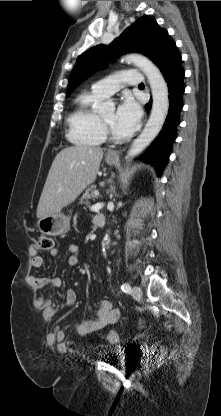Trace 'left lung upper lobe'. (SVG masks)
<instances>
[{"label":"left lung upper lobe","instance_id":"obj_1","mask_svg":"<svg viewBox=\"0 0 221 416\" xmlns=\"http://www.w3.org/2000/svg\"><path fill=\"white\" fill-rule=\"evenodd\" d=\"M166 32L158 26L156 21L143 17L108 46L97 45L90 48L79 56L72 71L66 95L71 94L83 79L122 52H140L150 58L160 38Z\"/></svg>","mask_w":221,"mask_h":416}]
</instances>
